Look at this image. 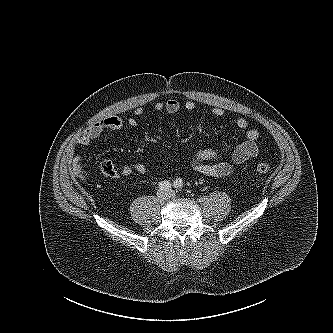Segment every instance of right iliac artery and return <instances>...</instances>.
<instances>
[{"mask_svg":"<svg viewBox=\"0 0 333 333\" xmlns=\"http://www.w3.org/2000/svg\"><path fill=\"white\" fill-rule=\"evenodd\" d=\"M158 186L161 190H167L171 188V183L169 181H161L159 182Z\"/></svg>","mask_w":333,"mask_h":333,"instance_id":"right-iliac-artery-1","label":"right iliac artery"}]
</instances>
